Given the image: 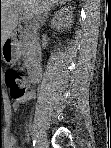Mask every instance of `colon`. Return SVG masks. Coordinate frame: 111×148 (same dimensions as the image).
<instances>
[{"mask_svg": "<svg viewBox=\"0 0 111 148\" xmlns=\"http://www.w3.org/2000/svg\"><path fill=\"white\" fill-rule=\"evenodd\" d=\"M20 79V74L16 71H9L7 73V81L11 88V94L15 98H21L25 95V89L18 85L17 81Z\"/></svg>", "mask_w": 111, "mask_h": 148, "instance_id": "obj_1", "label": "colon"}]
</instances>
